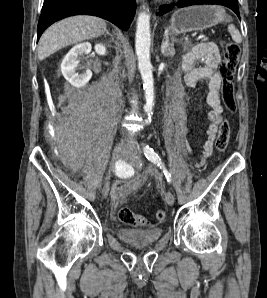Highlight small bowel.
Segmentation results:
<instances>
[{
	"mask_svg": "<svg viewBox=\"0 0 267 298\" xmlns=\"http://www.w3.org/2000/svg\"><path fill=\"white\" fill-rule=\"evenodd\" d=\"M220 53L218 47L213 42L198 44L191 52H188L183 57L182 70L184 72L185 84L189 87H195L201 81L208 82V95L206 98L207 104L210 107L208 113L209 124L206 132V139L202 146L200 160L197 165L205 164L206 159L209 158L213 151V142L217 133L218 125L222 120L224 107L219 96V89L221 87V76L217 71L220 63ZM197 62H203L204 66H196ZM176 111L181 112L179 104L176 105ZM137 182H133L129 187L121 189V195L135 188Z\"/></svg>",
	"mask_w": 267,
	"mask_h": 298,
	"instance_id": "c3829d8e",
	"label": "small bowel"
}]
</instances>
